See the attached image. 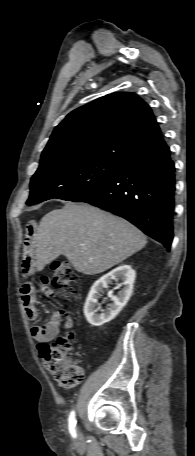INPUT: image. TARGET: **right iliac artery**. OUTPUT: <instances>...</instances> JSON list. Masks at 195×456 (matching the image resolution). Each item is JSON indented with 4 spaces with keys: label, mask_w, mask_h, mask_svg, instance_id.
Segmentation results:
<instances>
[{
    "label": "right iliac artery",
    "mask_w": 195,
    "mask_h": 456,
    "mask_svg": "<svg viewBox=\"0 0 195 456\" xmlns=\"http://www.w3.org/2000/svg\"><path fill=\"white\" fill-rule=\"evenodd\" d=\"M75 426H76V417H75V412L72 411L69 416V431H70L72 437H74V438L76 437Z\"/></svg>",
    "instance_id": "82829eb1"
}]
</instances>
